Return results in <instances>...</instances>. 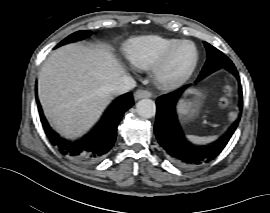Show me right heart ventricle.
I'll list each match as a JSON object with an SVG mask.
<instances>
[{"mask_svg":"<svg viewBox=\"0 0 270 213\" xmlns=\"http://www.w3.org/2000/svg\"><path fill=\"white\" fill-rule=\"evenodd\" d=\"M177 41L156 35L139 37L131 41L126 56L133 66L148 69Z\"/></svg>","mask_w":270,"mask_h":213,"instance_id":"1","label":"right heart ventricle"}]
</instances>
